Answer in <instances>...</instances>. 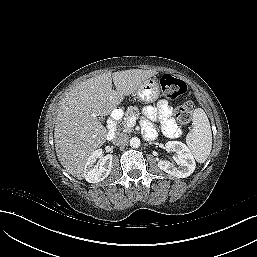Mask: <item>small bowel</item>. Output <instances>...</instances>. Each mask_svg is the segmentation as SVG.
Instances as JSON below:
<instances>
[{
	"instance_id": "1",
	"label": "small bowel",
	"mask_w": 257,
	"mask_h": 257,
	"mask_svg": "<svg viewBox=\"0 0 257 257\" xmlns=\"http://www.w3.org/2000/svg\"><path fill=\"white\" fill-rule=\"evenodd\" d=\"M144 113L149 119L159 120L166 135L175 136L179 133L175 121L171 118L172 108L166 100H160L156 106L146 107Z\"/></svg>"
}]
</instances>
